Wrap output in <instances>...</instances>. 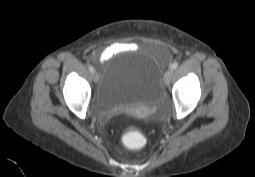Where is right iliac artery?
Masks as SVG:
<instances>
[{"label":"right iliac artery","instance_id":"1","mask_svg":"<svg viewBox=\"0 0 255 177\" xmlns=\"http://www.w3.org/2000/svg\"><path fill=\"white\" fill-rule=\"evenodd\" d=\"M88 69H89V71H90L91 73L94 72V68H93L91 65L88 66Z\"/></svg>","mask_w":255,"mask_h":177}]
</instances>
